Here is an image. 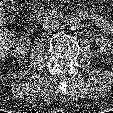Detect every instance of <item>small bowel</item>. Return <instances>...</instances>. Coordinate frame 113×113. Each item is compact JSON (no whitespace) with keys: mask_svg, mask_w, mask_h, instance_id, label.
Wrapping results in <instances>:
<instances>
[{"mask_svg":"<svg viewBox=\"0 0 113 113\" xmlns=\"http://www.w3.org/2000/svg\"><path fill=\"white\" fill-rule=\"evenodd\" d=\"M87 19L97 28L113 36V21L98 13L87 14Z\"/></svg>","mask_w":113,"mask_h":113,"instance_id":"c3829d8e","label":"small bowel"}]
</instances>
